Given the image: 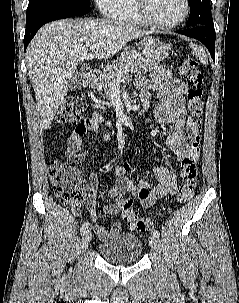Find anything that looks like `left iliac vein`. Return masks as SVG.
Returning <instances> with one entry per match:
<instances>
[{"instance_id": "4c4485c4", "label": "left iliac vein", "mask_w": 239, "mask_h": 303, "mask_svg": "<svg viewBox=\"0 0 239 303\" xmlns=\"http://www.w3.org/2000/svg\"><path fill=\"white\" fill-rule=\"evenodd\" d=\"M149 244L150 246L157 252H160L161 246H160V241L159 238L156 236H150L149 237Z\"/></svg>"}]
</instances>
